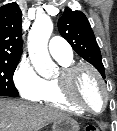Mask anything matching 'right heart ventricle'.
<instances>
[{
    "label": "right heart ventricle",
    "instance_id": "e07e8e85",
    "mask_svg": "<svg viewBox=\"0 0 117 131\" xmlns=\"http://www.w3.org/2000/svg\"><path fill=\"white\" fill-rule=\"evenodd\" d=\"M62 67H66L70 64H72V58L71 59H65V60H57ZM40 103H43L45 105L57 107L75 114H83L84 111L76 107L75 105L71 104L69 101H67L64 96L62 95L57 78L56 79H47L44 81V88L39 96V98L36 100Z\"/></svg>",
    "mask_w": 117,
    "mask_h": 131
}]
</instances>
